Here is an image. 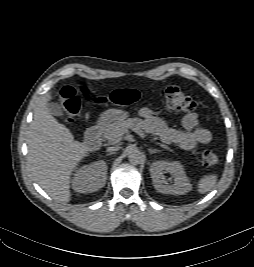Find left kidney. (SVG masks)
Returning <instances> with one entry per match:
<instances>
[{
	"mask_svg": "<svg viewBox=\"0 0 254 267\" xmlns=\"http://www.w3.org/2000/svg\"><path fill=\"white\" fill-rule=\"evenodd\" d=\"M164 173L171 174L174 178L173 184H168ZM150 175L154 188L164 194L183 195L192 189L188 177L185 174L183 165L178 161H156L150 166Z\"/></svg>",
	"mask_w": 254,
	"mask_h": 267,
	"instance_id": "1",
	"label": "left kidney"
}]
</instances>
